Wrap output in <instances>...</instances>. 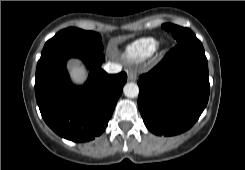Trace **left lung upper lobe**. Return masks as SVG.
Listing matches in <instances>:
<instances>
[{"mask_svg": "<svg viewBox=\"0 0 245 170\" xmlns=\"http://www.w3.org/2000/svg\"><path fill=\"white\" fill-rule=\"evenodd\" d=\"M162 27L168 32H171L178 44H187L203 48L202 43L196 38L195 34L190 29L169 23L163 24Z\"/></svg>", "mask_w": 245, "mask_h": 170, "instance_id": "5c2ea615", "label": "left lung upper lobe"}]
</instances>
